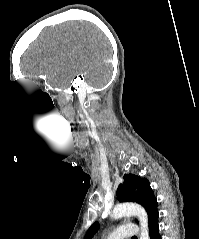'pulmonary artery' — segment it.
<instances>
[{"label":"pulmonary artery","instance_id":"pulmonary-artery-1","mask_svg":"<svg viewBox=\"0 0 199 239\" xmlns=\"http://www.w3.org/2000/svg\"><path fill=\"white\" fill-rule=\"evenodd\" d=\"M138 233V227L135 224H125L117 228L106 239H129Z\"/></svg>","mask_w":199,"mask_h":239}]
</instances>
